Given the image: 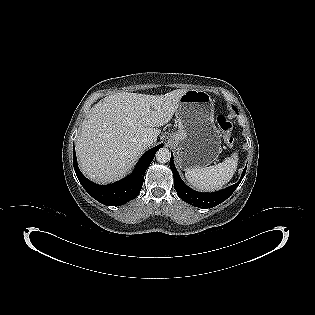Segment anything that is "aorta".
Segmentation results:
<instances>
[{"instance_id": "aorta-1", "label": "aorta", "mask_w": 315, "mask_h": 315, "mask_svg": "<svg viewBox=\"0 0 315 315\" xmlns=\"http://www.w3.org/2000/svg\"><path fill=\"white\" fill-rule=\"evenodd\" d=\"M171 153L167 148H161L156 153V160L159 163H167L170 160Z\"/></svg>"}]
</instances>
